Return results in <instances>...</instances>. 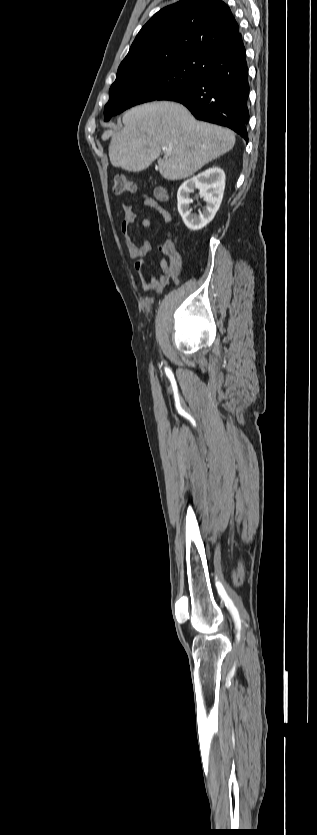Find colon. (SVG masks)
I'll return each instance as SVG.
<instances>
[{"label": "colon", "mask_w": 317, "mask_h": 835, "mask_svg": "<svg viewBox=\"0 0 317 835\" xmlns=\"http://www.w3.org/2000/svg\"><path fill=\"white\" fill-rule=\"evenodd\" d=\"M112 191L117 194L133 193L136 191V184L133 180L123 174H117L113 177ZM165 249L169 252L175 251L172 245L168 244Z\"/></svg>", "instance_id": "1"}]
</instances>
